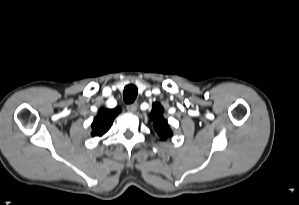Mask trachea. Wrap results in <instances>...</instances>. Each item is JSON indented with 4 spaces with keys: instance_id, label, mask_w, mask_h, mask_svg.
Here are the masks:
<instances>
[{
    "instance_id": "trachea-1",
    "label": "trachea",
    "mask_w": 299,
    "mask_h": 205,
    "mask_svg": "<svg viewBox=\"0 0 299 205\" xmlns=\"http://www.w3.org/2000/svg\"><path fill=\"white\" fill-rule=\"evenodd\" d=\"M138 95V89L135 85L129 84L124 88L123 99L127 104H131L135 101Z\"/></svg>"
}]
</instances>
